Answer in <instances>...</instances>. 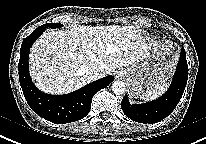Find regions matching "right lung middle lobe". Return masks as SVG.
I'll return each mask as SVG.
<instances>
[{"instance_id":"1","label":"right lung middle lobe","mask_w":206,"mask_h":144,"mask_svg":"<svg viewBox=\"0 0 206 144\" xmlns=\"http://www.w3.org/2000/svg\"><path fill=\"white\" fill-rule=\"evenodd\" d=\"M62 25L60 24H56V23H47V24H44V25H41L40 27H43V28H60Z\"/></svg>"}]
</instances>
